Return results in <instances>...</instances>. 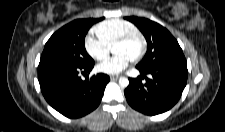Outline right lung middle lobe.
Masks as SVG:
<instances>
[{
    "instance_id": "dd1d6c3e",
    "label": "right lung middle lobe",
    "mask_w": 225,
    "mask_h": 132,
    "mask_svg": "<svg viewBox=\"0 0 225 132\" xmlns=\"http://www.w3.org/2000/svg\"><path fill=\"white\" fill-rule=\"evenodd\" d=\"M99 19H78L55 32L45 44L40 62H58L79 67L93 64L84 39L89 28Z\"/></svg>"
}]
</instances>
